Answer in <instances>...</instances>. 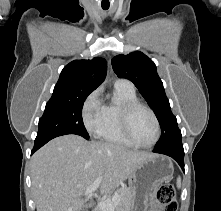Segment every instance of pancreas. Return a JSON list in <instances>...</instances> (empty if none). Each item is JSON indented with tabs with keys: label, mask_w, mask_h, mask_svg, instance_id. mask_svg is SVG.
<instances>
[{
	"label": "pancreas",
	"mask_w": 221,
	"mask_h": 211,
	"mask_svg": "<svg viewBox=\"0 0 221 211\" xmlns=\"http://www.w3.org/2000/svg\"><path fill=\"white\" fill-rule=\"evenodd\" d=\"M115 194L120 196V201L116 205L117 211H131V207L133 205V197L131 188L128 189H118L114 192V194H109L107 198H112ZM95 211H103L99 206Z\"/></svg>",
	"instance_id": "cf45deb5"
}]
</instances>
